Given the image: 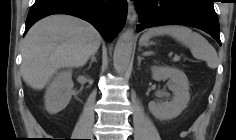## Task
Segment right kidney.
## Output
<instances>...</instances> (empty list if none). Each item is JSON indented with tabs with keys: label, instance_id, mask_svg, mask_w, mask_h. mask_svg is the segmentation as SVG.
<instances>
[{
	"label": "right kidney",
	"instance_id": "right-kidney-1",
	"mask_svg": "<svg viewBox=\"0 0 236 140\" xmlns=\"http://www.w3.org/2000/svg\"><path fill=\"white\" fill-rule=\"evenodd\" d=\"M73 85L70 70L56 74L45 93V109L48 113L56 114L68 105Z\"/></svg>",
	"mask_w": 236,
	"mask_h": 140
}]
</instances>
